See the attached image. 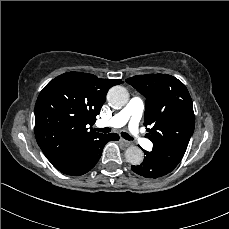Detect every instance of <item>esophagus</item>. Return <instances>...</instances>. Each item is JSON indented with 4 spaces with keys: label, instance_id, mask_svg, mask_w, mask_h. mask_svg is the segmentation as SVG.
Segmentation results:
<instances>
[{
    "label": "esophagus",
    "instance_id": "obj_1",
    "mask_svg": "<svg viewBox=\"0 0 229 229\" xmlns=\"http://www.w3.org/2000/svg\"><path fill=\"white\" fill-rule=\"evenodd\" d=\"M120 142H121L125 147L131 146V143H130L129 141L124 140L123 138L120 139Z\"/></svg>",
    "mask_w": 229,
    "mask_h": 229
}]
</instances>
